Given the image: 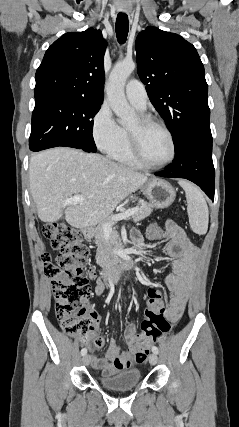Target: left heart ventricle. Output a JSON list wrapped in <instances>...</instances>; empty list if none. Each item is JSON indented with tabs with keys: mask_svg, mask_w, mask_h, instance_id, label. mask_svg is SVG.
<instances>
[{
	"mask_svg": "<svg viewBox=\"0 0 239 427\" xmlns=\"http://www.w3.org/2000/svg\"><path fill=\"white\" fill-rule=\"evenodd\" d=\"M128 129L138 132L143 157L152 164H160L171 155V143L168 136L156 127H142L136 117Z\"/></svg>",
	"mask_w": 239,
	"mask_h": 427,
	"instance_id": "b2bd125f",
	"label": "left heart ventricle"
}]
</instances>
